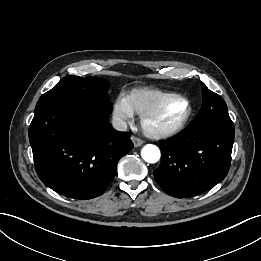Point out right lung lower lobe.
<instances>
[{
    "mask_svg": "<svg viewBox=\"0 0 261 261\" xmlns=\"http://www.w3.org/2000/svg\"><path fill=\"white\" fill-rule=\"evenodd\" d=\"M29 141L41 181L81 200L103 194L133 148L130 133L114 130L103 106L51 100L37 102Z\"/></svg>",
    "mask_w": 261,
    "mask_h": 261,
    "instance_id": "right-lung-lower-lobe-1",
    "label": "right lung lower lobe"
}]
</instances>
